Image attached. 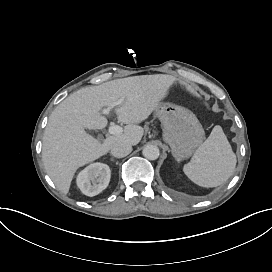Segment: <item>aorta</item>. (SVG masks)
<instances>
[{"label":"aorta","instance_id":"1","mask_svg":"<svg viewBox=\"0 0 272 272\" xmlns=\"http://www.w3.org/2000/svg\"><path fill=\"white\" fill-rule=\"evenodd\" d=\"M160 155V150L155 145H147L143 149V156L149 160H156Z\"/></svg>","mask_w":272,"mask_h":272}]
</instances>
